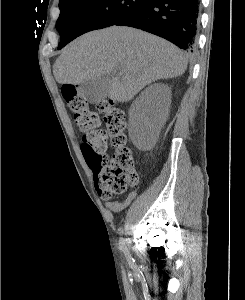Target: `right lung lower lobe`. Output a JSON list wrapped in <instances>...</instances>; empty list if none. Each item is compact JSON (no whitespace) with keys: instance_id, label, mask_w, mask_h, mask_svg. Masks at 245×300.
<instances>
[{"instance_id":"1","label":"right lung lower lobe","mask_w":245,"mask_h":300,"mask_svg":"<svg viewBox=\"0 0 245 300\" xmlns=\"http://www.w3.org/2000/svg\"><path fill=\"white\" fill-rule=\"evenodd\" d=\"M199 23V0H149L114 25L135 27L193 52Z\"/></svg>"}]
</instances>
